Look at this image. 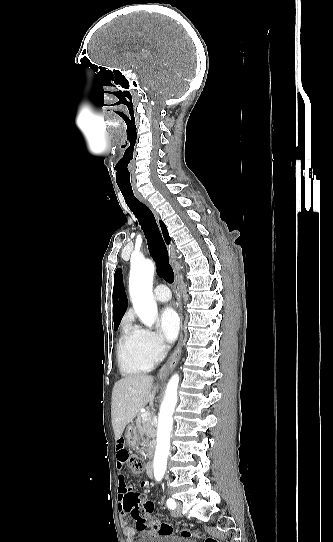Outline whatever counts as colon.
Listing matches in <instances>:
<instances>
[{
  "label": "colon",
  "mask_w": 333,
  "mask_h": 542,
  "mask_svg": "<svg viewBox=\"0 0 333 542\" xmlns=\"http://www.w3.org/2000/svg\"><path fill=\"white\" fill-rule=\"evenodd\" d=\"M129 467L133 474L140 475L145 471V463L138 456L129 457ZM140 492L138 489H127L123 498L124 507L130 518L136 524V529L139 532H144L150 535L151 539H158L159 536L166 537L172 532V526L168 523H161L154 519L151 514L155 507L153 500H139ZM190 532L183 531L184 538L190 537ZM204 542H217L212 537H207Z\"/></svg>",
  "instance_id": "5ec220e1"
}]
</instances>
